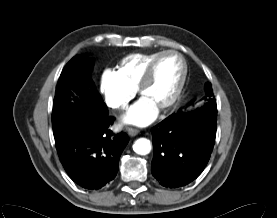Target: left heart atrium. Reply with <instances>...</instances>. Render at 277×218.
Masks as SVG:
<instances>
[{
    "label": "left heart atrium",
    "instance_id": "obj_1",
    "mask_svg": "<svg viewBox=\"0 0 277 218\" xmlns=\"http://www.w3.org/2000/svg\"><path fill=\"white\" fill-rule=\"evenodd\" d=\"M158 114V107L147 97L142 96L126 113L123 120L137 126L151 123Z\"/></svg>",
    "mask_w": 277,
    "mask_h": 218
}]
</instances>
